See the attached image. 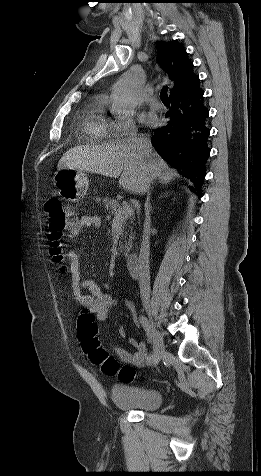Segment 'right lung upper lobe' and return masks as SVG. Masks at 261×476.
I'll return each mask as SVG.
<instances>
[{
	"instance_id": "1",
	"label": "right lung upper lobe",
	"mask_w": 261,
	"mask_h": 476,
	"mask_svg": "<svg viewBox=\"0 0 261 476\" xmlns=\"http://www.w3.org/2000/svg\"><path fill=\"white\" fill-rule=\"evenodd\" d=\"M156 46L161 67L174 82L171 96L188 87L197 76L193 73V64L181 44L176 41H160L156 42Z\"/></svg>"
}]
</instances>
